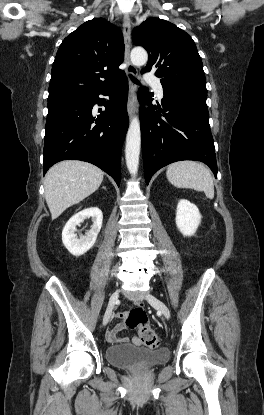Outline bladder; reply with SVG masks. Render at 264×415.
Listing matches in <instances>:
<instances>
[{"instance_id": "obj_1", "label": "bladder", "mask_w": 264, "mask_h": 415, "mask_svg": "<svg viewBox=\"0 0 264 415\" xmlns=\"http://www.w3.org/2000/svg\"><path fill=\"white\" fill-rule=\"evenodd\" d=\"M105 359L114 367L133 369L138 366H157L166 363L169 351L164 347H139L133 344L117 345L105 349Z\"/></svg>"}]
</instances>
